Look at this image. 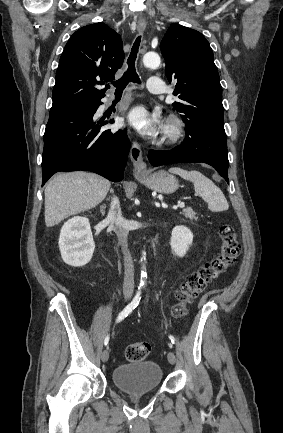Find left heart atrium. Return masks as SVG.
Wrapping results in <instances>:
<instances>
[{"label": "left heart atrium", "mask_w": 283, "mask_h": 433, "mask_svg": "<svg viewBox=\"0 0 283 433\" xmlns=\"http://www.w3.org/2000/svg\"><path fill=\"white\" fill-rule=\"evenodd\" d=\"M129 123L144 138H155L162 129L158 116L150 115L143 106L134 107L128 115Z\"/></svg>", "instance_id": "obj_1"}]
</instances>
